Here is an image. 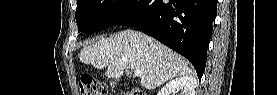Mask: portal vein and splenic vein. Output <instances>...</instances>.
Wrapping results in <instances>:
<instances>
[{
    "label": "portal vein and splenic vein",
    "instance_id": "portal-vein-and-splenic-vein-1",
    "mask_svg": "<svg viewBox=\"0 0 277 95\" xmlns=\"http://www.w3.org/2000/svg\"><path fill=\"white\" fill-rule=\"evenodd\" d=\"M134 75L140 77L142 75V72L139 70H134Z\"/></svg>",
    "mask_w": 277,
    "mask_h": 95
}]
</instances>
